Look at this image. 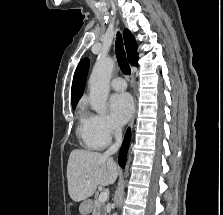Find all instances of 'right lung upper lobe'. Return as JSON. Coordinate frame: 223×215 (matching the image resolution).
<instances>
[{
    "instance_id": "1",
    "label": "right lung upper lobe",
    "mask_w": 223,
    "mask_h": 215,
    "mask_svg": "<svg viewBox=\"0 0 223 215\" xmlns=\"http://www.w3.org/2000/svg\"><path fill=\"white\" fill-rule=\"evenodd\" d=\"M124 41L129 62L137 66V61H138L137 43L128 29L124 30ZM88 69H89L88 58L83 59L76 68L72 83V94H71L73 108L77 105L79 99L83 94Z\"/></svg>"
}]
</instances>
